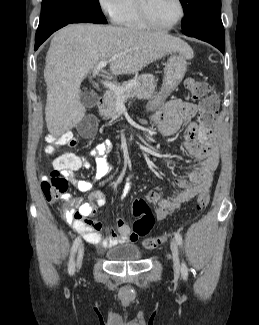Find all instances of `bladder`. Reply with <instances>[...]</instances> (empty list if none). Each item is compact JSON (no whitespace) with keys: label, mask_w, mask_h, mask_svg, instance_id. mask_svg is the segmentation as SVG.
I'll return each mask as SVG.
<instances>
[{"label":"bladder","mask_w":259,"mask_h":325,"mask_svg":"<svg viewBox=\"0 0 259 325\" xmlns=\"http://www.w3.org/2000/svg\"><path fill=\"white\" fill-rule=\"evenodd\" d=\"M106 257L113 262L135 261L142 257V251L137 245L121 244L109 248Z\"/></svg>","instance_id":"1"}]
</instances>
